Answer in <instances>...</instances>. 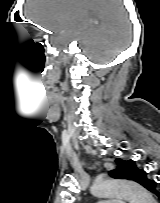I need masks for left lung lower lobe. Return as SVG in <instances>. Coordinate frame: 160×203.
<instances>
[{"instance_id": "obj_1", "label": "left lung lower lobe", "mask_w": 160, "mask_h": 203, "mask_svg": "<svg viewBox=\"0 0 160 203\" xmlns=\"http://www.w3.org/2000/svg\"><path fill=\"white\" fill-rule=\"evenodd\" d=\"M159 183H157L155 180H151L146 189H148L149 191H151L155 196L158 197V199H160V189H159Z\"/></svg>"}]
</instances>
